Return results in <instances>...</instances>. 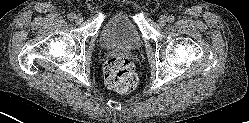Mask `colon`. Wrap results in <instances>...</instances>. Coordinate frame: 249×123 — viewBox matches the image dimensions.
Listing matches in <instances>:
<instances>
[{
    "instance_id": "5ec220e1",
    "label": "colon",
    "mask_w": 249,
    "mask_h": 123,
    "mask_svg": "<svg viewBox=\"0 0 249 123\" xmlns=\"http://www.w3.org/2000/svg\"><path fill=\"white\" fill-rule=\"evenodd\" d=\"M106 85L120 94H128L134 90L138 77L130 60L120 56L109 58L104 67Z\"/></svg>"
}]
</instances>
